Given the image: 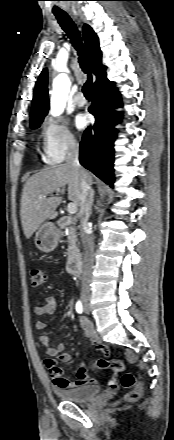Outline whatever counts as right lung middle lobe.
<instances>
[{
  "mask_svg": "<svg viewBox=\"0 0 174 440\" xmlns=\"http://www.w3.org/2000/svg\"><path fill=\"white\" fill-rule=\"evenodd\" d=\"M41 123H42V120L34 122V123L31 124V128L32 129H36V128H38L40 126Z\"/></svg>",
  "mask_w": 174,
  "mask_h": 440,
  "instance_id": "right-lung-middle-lobe-1",
  "label": "right lung middle lobe"
}]
</instances>
